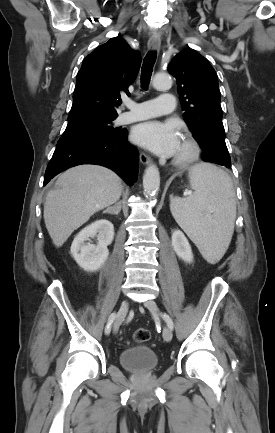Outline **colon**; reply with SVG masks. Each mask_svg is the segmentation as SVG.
I'll use <instances>...</instances> for the list:
<instances>
[{
  "label": "colon",
  "instance_id": "1",
  "mask_svg": "<svg viewBox=\"0 0 275 433\" xmlns=\"http://www.w3.org/2000/svg\"><path fill=\"white\" fill-rule=\"evenodd\" d=\"M133 338L137 343L146 342L150 338V332L145 328H138L134 331Z\"/></svg>",
  "mask_w": 275,
  "mask_h": 433
}]
</instances>
